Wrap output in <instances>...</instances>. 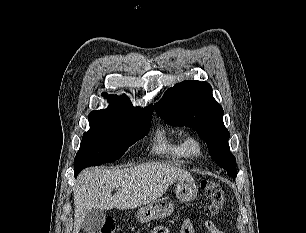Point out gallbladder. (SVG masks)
I'll use <instances>...</instances> for the list:
<instances>
[{"label":"gallbladder","mask_w":306,"mask_h":233,"mask_svg":"<svg viewBox=\"0 0 306 233\" xmlns=\"http://www.w3.org/2000/svg\"><path fill=\"white\" fill-rule=\"evenodd\" d=\"M106 219V214L103 210L92 209L89 211L83 220L82 229L86 233H99Z\"/></svg>","instance_id":"obj_1"}]
</instances>
